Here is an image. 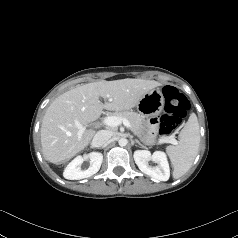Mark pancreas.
<instances>
[{"label": "pancreas", "instance_id": "1", "mask_svg": "<svg viewBox=\"0 0 238 238\" xmlns=\"http://www.w3.org/2000/svg\"><path fill=\"white\" fill-rule=\"evenodd\" d=\"M113 115L127 119L131 124V130L134 132V134L140 136L142 131V123L144 119L143 116L132 111L115 112Z\"/></svg>", "mask_w": 238, "mask_h": 238}]
</instances>
